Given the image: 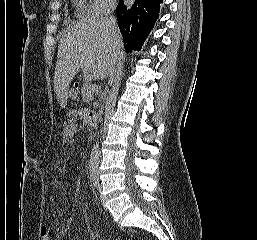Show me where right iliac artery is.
<instances>
[{
  "label": "right iliac artery",
  "instance_id": "right-iliac-artery-1",
  "mask_svg": "<svg viewBox=\"0 0 257 240\" xmlns=\"http://www.w3.org/2000/svg\"><path fill=\"white\" fill-rule=\"evenodd\" d=\"M97 184H98V182L95 181V182H94V186L97 187Z\"/></svg>",
  "mask_w": 257,
  "mask_h": 240
}]
</instances>
